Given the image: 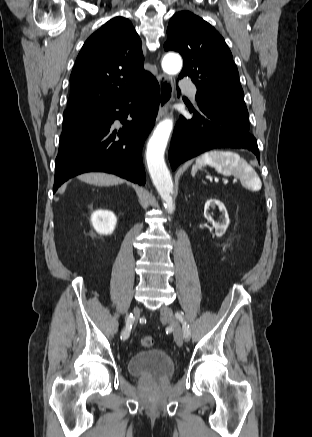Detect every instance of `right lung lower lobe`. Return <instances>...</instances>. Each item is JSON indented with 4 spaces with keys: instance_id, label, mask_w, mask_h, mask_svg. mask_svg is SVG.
<instances>
[{
    "instance_id": "98d812e1",
    "label": "right lung lower lobe",
    "mask_w": 312,
    "mask_h": 437,
    "mask_svg": "<svg viewBox=\"0 0 312 437\" xmlns=\"http://www.w3.org/2000/svg\"><path fill=\"white\" fill-rule=\"evenodd\" d=\"M159 103V84L150 74L96 116L62 130L55 160L54 193L68 179L91 171L113 173L144 185L142 148L155 124ZM128 115L132 121H127ZM116 119L124 124L122 128L114 127Z\"/></svg>"
}]
</instances>
